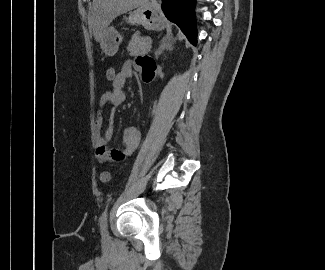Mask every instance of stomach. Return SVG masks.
Listing matches in <instances>:
<instances>
[{"mask_svg":"<svg viewBox=\"0 0 325 270\" xmlns=\"http://www.w3.org/2000/svg\"><path fill=\"white\" fill-rule=\"evenodd\" d=\"M128 22L140 24L148 30L161 31L165 28V21L158 7L153 3L140 5L136 10L130 12ZM122 35L113 27L106 29L100 43L102 51L107 56H114L122 42Z\"/></svg>","mask_w":325,"mask_h":270,"instance_id":"0dacf381","label":"stomach"}]
</instances>
